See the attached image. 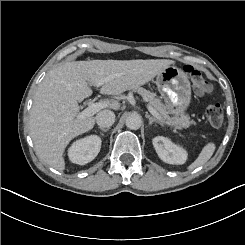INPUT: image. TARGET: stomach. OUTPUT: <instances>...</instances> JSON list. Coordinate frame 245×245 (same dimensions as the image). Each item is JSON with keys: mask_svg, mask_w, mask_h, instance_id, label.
Masks as SVG:
<instances>
[{"mask_svg": "<svg viewBox=\"0 0 245 245\" xmlns=\"http://www.w3.org/2000/svg\"><path fill=\"white\" fill-rule=\"evenodd\" d=\"M156 85L166 105L184 114L191 99V87L187 75L176 66L169 65L157 75Z\"/></svg>", "mask_w": 245, "mask_h": 245, "instance_id": "1", "label": "stomach"}]
</instances>
